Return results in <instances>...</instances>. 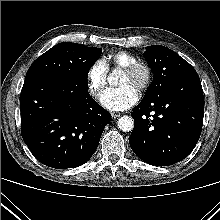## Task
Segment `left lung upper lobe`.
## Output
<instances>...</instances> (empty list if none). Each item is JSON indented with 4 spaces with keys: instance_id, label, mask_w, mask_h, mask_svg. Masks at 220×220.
<instances>
[{
    "instance_id": "left-lung-upper-lobe-1",
    "label": "left lung upper lobe",
    "mask_w": 220,
    "mask_h": 220,
    "mask_svg": "<svg viewBox=\"0 0 220 220\" xmlns=\"http://www.w3.org/2000/svg\"><path fill=\"white\" fill-rule=\"evenodd\" d=\"M144 57L153 73V81L143 100L168 90L177 81L198 76L195 69L176 52L161 45L146 47Z\"/></svg>"
}]
</instances>
